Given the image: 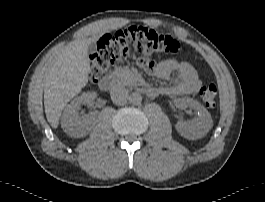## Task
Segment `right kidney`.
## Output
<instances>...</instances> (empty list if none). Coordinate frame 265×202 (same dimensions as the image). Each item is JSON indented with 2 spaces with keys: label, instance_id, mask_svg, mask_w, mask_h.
<instances>
[{
  "label": "right kidney",
  "instance_id": "obj_1",
  "mask_svg": "<svg viewBox=\"0 0 265 202\" xmlns=\"http://www.w3.org/2000/svg\"><path fill=\"white\" fill-rule=\"evenodd\" d=\"M96 97V92H86L66 106L61 117V127L65 133L77 138L88 135L97 119V114L91 113L80 117L78 111L81 105L92 103Z\"/></svg>",
  "mask_w": 265,
  "mask_h": 202
}]
</instances>
